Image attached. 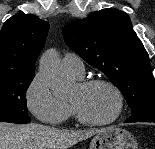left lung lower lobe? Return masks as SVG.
Masks as SVG:
<instances>
[{
    "instance_id": "left-lung-lower-lobe-1",
    "label": "left lung lower lobe",
    "mask_w": 155,
    "mask_h": 149,
    "mask_svg": "<svg viewBox=\"0 0 155 149\" xmlns=\"http://www.w3.org/2000/svg\"><path fill=\"white\" fill-rule=\"evenodd\" d=\"M131 122H153L155 123V107L137 116H131L124 123Z\"/></svg>"
}]
</instances>
